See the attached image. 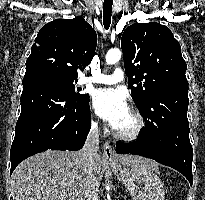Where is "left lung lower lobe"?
Here are the masks:
<instances>
[{
    "mask_svg": "<svg viewBox=\"0 0 205 200\" xmlns=\"http://www.w3.org/2000/svg\"><path fill=\"white\" fill-rule=\"evenodd\" d=\"M188 102V88L156 91L151 99L152 112H157L156 116L151 115L153 124L142 130L137 141L118 142L116 152L141 155L170 166L192 185L193 149L189 139Z\"/></svg>",
    "mask_w": 205,
    "mask_h": 200,
    "instance_id": "obj_1",
    "label": "left lung lower lobe"
}]
</instances>
